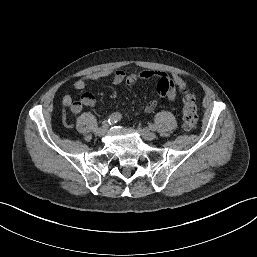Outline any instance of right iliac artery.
Wrapping results in <instances>:
<instances>
[{"label":"right iliac artery","mask_w":257,"mask_h":257,"mask_svg":"<svg viewBox=\"0 0 257 257\" xmlns=\"http://www.w3.org/2000/svg\"><path fill=\"white\" fill-rule=\"evenodd\" d=\"M122 118L121 114L116 112V113H113L111 114L108 119L106 121H104V123L106 124H110V125H113L115 124L116 122H118L120 119Z\"/></svg>","instance_id":"82829eb1"}]
</instances>
